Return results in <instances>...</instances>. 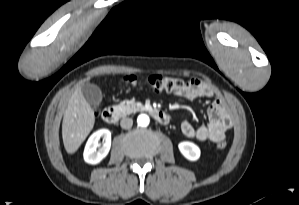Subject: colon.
<instances>
[{
    "instance_id": "1",
    "label": "colon",
    "mask_w": 299,
    "mask_h": 205,
    "mask_svg": "<svg viewBox=\"0 0 299 205\" xmlns=\"http://www.w3.org/2000/svg\"><path fill=\"white\" fill-rule=\"evenodd\" d=\"M125 81L133 86H139L141 82L135 76H129L125 78ZM145 85L153 88L156 91H180L183 90L188 83L177 77H168L162 75H151L145 82ZM224 140L217 143L218 149H224L226 147Z\"/></svg>"
}]
</instances>
